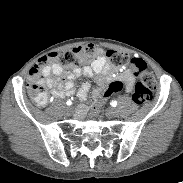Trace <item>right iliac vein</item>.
Returning <instances> with one entry per match:
<instances>
[{
	"mask_svg": "<svg viewBox=\"0 0 183 183\" xmlns=\"http://www.w3.org/2000/svg\"><path fill=\"white\" fill-rule=\"evenodd\" d=\"M71 109H72V107L67 108V110H71Z\"/></svg>",
	"mask_w": 183,
	"mask_h": 183,
	"instance_id": "right-iliac-vein-1",
	"label": "right iliac vein"
}]
</instances>
